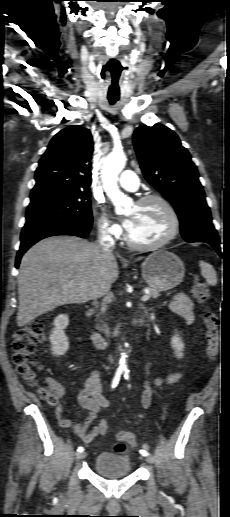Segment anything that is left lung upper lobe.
Listing matches in <instances>:
<instances>
[{
  "mask_svg": "<svg viewBox=\"0 0 230 517\" xmlns=\"http://www.w3.org/2000/svg\"><path fill=\"white\" fill-rule=\"evenodd\" d=\"M133 143L145 178L174 206L183 238L217 235L197 168L177 134L161 124L142 125Z\"/></svg>",
  "mask_w": 230,
  "mask_h": 517,
  "instance_id": "obj_1",
  "label": "left lung upper lobe"
}]
</instances>
